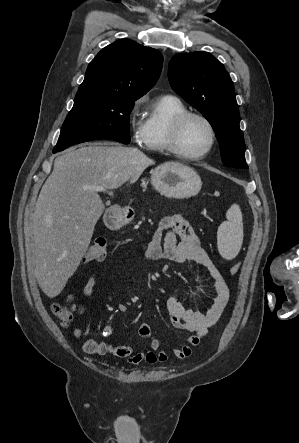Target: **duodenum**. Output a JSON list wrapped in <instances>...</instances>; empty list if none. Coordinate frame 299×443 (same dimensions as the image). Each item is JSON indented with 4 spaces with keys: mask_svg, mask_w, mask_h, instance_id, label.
Returning a JSON list of instances; mask_svg holds the SVG:
<instances>
[{
    "mask_svg": "<svg viewBox=\"0 0 299 443\" xmlns=\"http://www.w3.org/2000/svg\"><path fill=\"white\" fill-rule=\"evenodd\" d=\"M129 217H130L129 213H128V211L126 209H120L119 211H117V214H116V217H115L116 219L115 220H111L110 224L111 225H115L116 222L118 223L120 221L128 220Z\"/></svg>",
    "mask_w": 299,
    "mask_h": 443,
    "instance_id": "410a0bca",
    "label": "duodenum"
}]
</instances>
